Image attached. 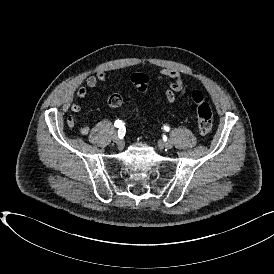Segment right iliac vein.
<instances>
[{"mask_svg":"<svg viewBox=\"0 0 274 274\" xmlns=\"http://www.w3.org/2000/svg\"><path fill=\"white\" fill-rule=\"evenodd\" d=\"M113 141L119 146L123 144V141L117 136V134L113 136Z\"/></svg>","mask_w":274,"mask_h":274,"instance_id":"63e3f726","label":"right iliac vein"}]
</instances>
